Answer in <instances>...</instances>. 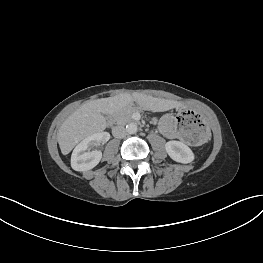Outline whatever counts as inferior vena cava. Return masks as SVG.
Returning <instances> with one entry per match:
<instances>
[{
  "instance_id": "602c4592",
  "label": "inferior vena cava",
  "mask_w": 263,
  "mask_h": 263,
  "mask_svg": "<svg viewBox=\"0 0 263 263\" xmlns=\"http://www.w3.org/2000/svg\"><path fill=\"white\" fill-rule=\"evenodd\" d=\"M115 138H123L126 136V129L123 126H116L112 129Z\"/></svg>"
}]
</instances>
